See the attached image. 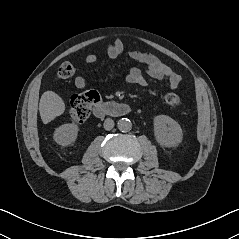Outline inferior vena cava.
<instances>
[{
    "label": "inferior vena cava",
    "instance_id": "inferior-vena-cava-1",
    "mask_svg": "<svg viewBox=\"0 0 239 239\" xmlns=\"http://www.w3.org/2000/svg\"><path fill=\"white\" fill-rule=\"evenodd\" d=\"M114 125V121L111 118H107L103 124L105 130H111Z\"/></svg>",
    "mask_w": 239,
    "mask_h": 239
}]
</instances>
